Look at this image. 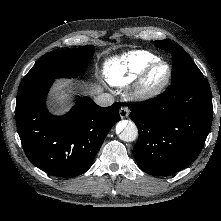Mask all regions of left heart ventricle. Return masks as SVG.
Masks as SVG:
<instances>
[{
  "label": "left heart ventricle",
  "mask_w": 221,
  "mask_h": 221,
  "mask_svg": "<svg viewBox=\"0 0 221 221\" xmlns=\"http://www.w3.org/2000/svg\"><path fill=\"white\" fill-rule=\"evenodd\" d=\"M166 73V68L164 66H159L157 67L151 74L150 76V81L152 83H157L159 81H161Z\"/></svg>",
  "instance_id": "left-heart-ventricle-1"
}]
</instances>
